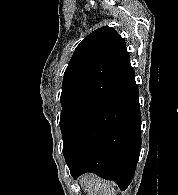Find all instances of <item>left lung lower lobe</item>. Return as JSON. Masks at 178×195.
I'll return each instance as SVG.
<instances>
[{"mask_svg": "<svg viewBox=\"0 0 178 195\" xmlns=\"http://www.w3.org/2000/svg\"><path fill=\"white\" fill-rule=\"evenodd\" d=\"M141 149V113L135 78L101 109L63 149L71 175L91 172L125 190Z\"/></svg>", "mask_w": 178, "mask_h": 195, "instance_id": "0a47b994", "label": "left lung lower lobe"}]
</instances>
